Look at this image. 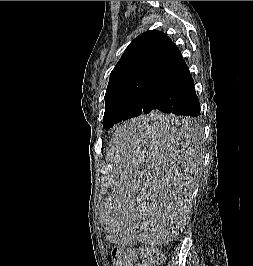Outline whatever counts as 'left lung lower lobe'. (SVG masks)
Returning <instances> with one entry per match:
<instances>
[{"mask_svg":"<svg viewBox=\"0 0 253 266\" xmlns=\"http://www.w3.org/2000/svg\"><path fill=\"white\" fill-rule=\"evenodd\" d=\"M153 110L187 116L170 121L143 119L144 131L172 140L188 136L196 128L192 118L200 114L199 100L194 81L180 50L172 42L155 70L145 94L142 114Z\"/></svg>","mask_w":253,"mask_h":266,"instance_id":"1","label":"left lung lower lobe"}]
</instances>
